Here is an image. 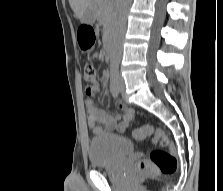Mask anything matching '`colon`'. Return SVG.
<instances>
[{"label":"colon","instance_id":"5ec220e1","mask_svg":"<svg viewBox=\"0 0 223 191\" xmlns=\"http://www.w3.org/2000/svg\"><path fill=\"white\" fill-rule=\"evenodd\" d=\"M78 42L85 51L94 52L96 46V33L94 29L85 25L78 33ZM96 68L87 64L84 67V78L87 83L92 84L96 79ZM153 136V141L158 145L151 150L147 160L138 161L135 165V172L139 174H152L159 171L162 174H173L177 170V158L175 148L170 139L162 130H154L151 125H144L136 129L133 133L134 138L141 140Z\"/></svg>","mask_w":223,"mask_h":191}]
</instances>
